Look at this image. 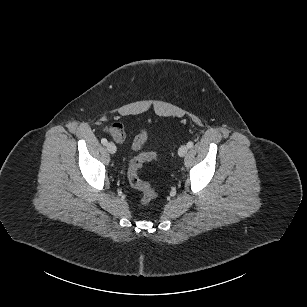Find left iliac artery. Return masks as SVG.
<instances>
[{"instance_id":"left-iliac-artery-1","label":"left iliac artery","mask_w":307,"mask_h":307,"mask_svg":"<svg viewBox=\"0 0 307 307\" xmlns=\"http://www.w3.org/2000/svg\"><path fill=\"white\" fill-rule=\"evenodd\" d=\"M187 147H188V148H192V147H193V142H192V141H189V142L187 143Z\"/></svg>"}]
</instances>
